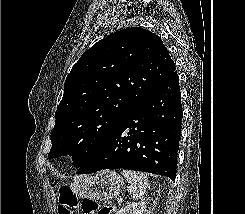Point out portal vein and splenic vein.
Wrapping results in <instances>:
<instances>
[{"mask_svg":"<svg viewBox=\"0 0 245 214\" xmlns=\"http://www.w3.org/2000/svg\"><path fill=\"white\" fill-rule=\"evenodd\" d=\"M122 202H123V199H122V198H118V199H117V203H118V204H121Z\"/></svg>","mask_w":245,"mask_h":214,"instance_id":"1","label":"portal vein and splenic vein"}]
</instances>
